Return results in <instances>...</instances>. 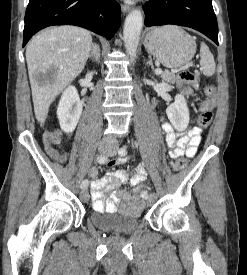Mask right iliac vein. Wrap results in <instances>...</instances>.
I'll return each mask as SVG.
<instances>
[{"mask_svg":"<svg viewBox=\"0 0 247 275\" xmlns=\"http://www.w3.org/2000/svg\"><path fill=\"white\" fill-rule=\"evenodd\" d=\"M98 151L102 154H107L110 151L109 144L107 141L102 140L98 144ZM89 193L86 189H83L80 193V198L83 202L89 201Z\"/></svg>","mask_w":247,"mask_h":275,"instance_id":"63e3f726","label":"right iliac vein"}]
</instances>
